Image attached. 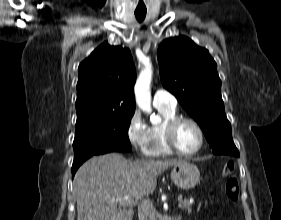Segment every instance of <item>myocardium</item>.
Segmentation results:
<instances>
[{"label":"myocardium","mask_w":281,"mask_h":220,"mask_svg":"<svg viewBox=\"0 0 281 220\" xmlns=\"http://www.w3.org/2000/svg\"><path fill=\"white\" fill-rule=\"evenodd\" d=\"M183 122L191 123L197 129V131L199 133V137H200L198 147L190 152L182 151L178 147V145L176 143V139H175L176 129H177L178 125ZM164 138H165L166 145L173 153L180 155V156H186V157L193 156V155L199 153L201 151V149L204 145V141H205L204 131H203V128L201 127V125L199 124V122L196 121L195 119H193L191 117H187V116H175V117L171 118L170 120H168L164 127Z\"/></svg>","instance_id":"1"}]
</instances>
